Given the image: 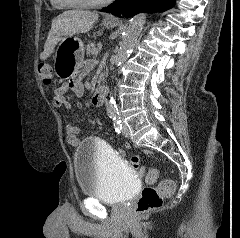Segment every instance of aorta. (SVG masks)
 <instances>
[{"mask_svg":"<svg viewBox=\"0 0 240 238\" xmlns=\"http://www.w3.org/2000/svg\"><path fill=\"white\" fill-rule=\"evenodd\" d=\"M146 22V14L140 13L134 16L124 33L122 42L120 43L119 50L115 56V65L120 66L130 55L137 39ZM107 113L111 116H116L118 113L116 102L111 98L106 104Z\"/></svg>","mask_w":240,"mask_h":238,"instance_id":"aorta-1","label":"aorta"}]
</instances>
